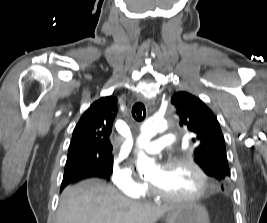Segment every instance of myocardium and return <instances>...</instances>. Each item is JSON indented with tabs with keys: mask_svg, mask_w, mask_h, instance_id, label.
<instances>
[{
	"mask_svg": "<svg viewBox=\"0 0 267 223\" xmlns=\"http://www.w3.org/2000/svg\"><path fill=\"white\" fill-rule=\"evenodd\" d=\"M182 164L188 165L197 174L200 181V187L198 191L190 196H174L162 193L156 186L151 183L150 189L156 199L170 203L191 204L200 201L206 195L208 190V177L205 171L191 158L184 156L170 157L163 162L162 167L167 168Z\"/></svg>",
	"mask_w": 267,
	"mask_h": 223,
	"instance_id": "obj_1",
	"label": "myocardium"
}]
</instances>
